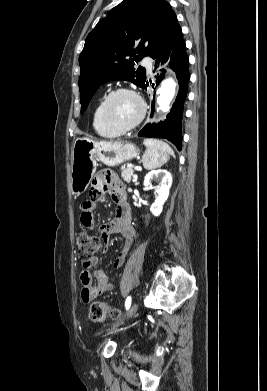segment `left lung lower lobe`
Masks as SVG:
<instances>
[{
	"label": "left lung lower lobe",
	"instance_id": "obj_1",
	"mask_svg": "<svg viewBox=\"0 0 267 391\" xmlns=\"http://www.w3.org/2000/svg\"><path fill=\"white\" fill-rule=\"evenodd\" d=\"M150 57L155 60L154 69L157 70V72H160V75L156 76L157 84H159L164 78V62L170 57L172 60L170 62V66L177 75L179 92L170 113L167 115V119L158 124H147L138 135L142 137L168 139L177 147L178 150H181L183 105L188 92L190 76L186 45L179 25L170 33L167 39L152 52ZM147 86L148 82L145 83L143 88H146Z\"/></svg>",
	"mask_w": 267,
	"mask_h": 391
}]
</instances>
